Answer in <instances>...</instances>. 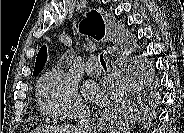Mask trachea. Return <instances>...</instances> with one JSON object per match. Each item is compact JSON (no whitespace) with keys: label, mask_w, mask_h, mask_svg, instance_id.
Returning <instances> with one entry per match:
<instances>
[{"label":"trachea","mask_w":184,"mask_h":133,"mask_svg":"<svg viewBox=\"0 0 184 133\" xmlns=\"http://www.w3.org/2000/svg\"><path fill=\"white\" fill-rule=\"evenodd\" d=\"M100 63L103 67H106V62L104 60V56H103V53L100 55Z\"/></svg>","instance_id":"trachea-1"}]
</instances>
